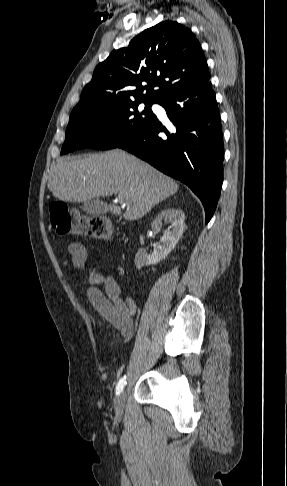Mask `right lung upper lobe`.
Masks as SVG:
<instances>
[{"label":"right lung upper lobe","mask_w":287,"mask_h":486,"mask_svg":"<svg viewBox=\"0 0 287 486\" xmlns=\"http://www.w3.org/2000/svg\"><path fill=\"white\" fill-rule=\"evenodd\" d=\"M210 77L201 45L191 30L175 21H163L99 63L73 111L128 99L157 103L172 93L201 86ZM155 86L159 89L153 90Z\"/></svg>","instance_id":"obj_1"}]
</instances>
